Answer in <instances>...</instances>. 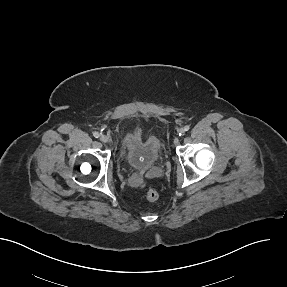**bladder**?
I'll return each mask as SVG.
<instances>
[{
	"label": "bladder",
	"instance_id": "obj_1",
	"mask_svg": "<svg viewBox=\"0 0 287 287\" xmlns=\"http://www.w3.org/2000/svg\"><path fill=\"white\" fill-rule=\"evenodd\" d=\"M162 154L160 138L141 128L129 130L122 138L120 158L135 170H147L154 166Z\"/></svg>",
	"mask_w": 287,
	"mask_h": 287
}]
</instances>
